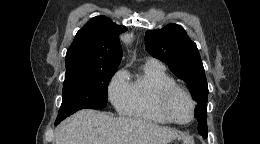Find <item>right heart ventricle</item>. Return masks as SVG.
<instances>
[{
  "label": "right heart ventricle",
  "instance_id": "obj_1",
  "mask_svg": "<svg viewBox=\"0 0 260 144\" xmlns=\"http://www.w3.org/2000/svg\"><path fill=\"white\" fill-rule=\"evenodd\" d=\"M176 84L164 67L151 62L142 66V73L130 82V94L124 113L135 119L165 124L168 121L155 107V98L160 88Z\"/></svg>",
  "mask_w": 260,
  "mask_h": 144
}]
</instances>
